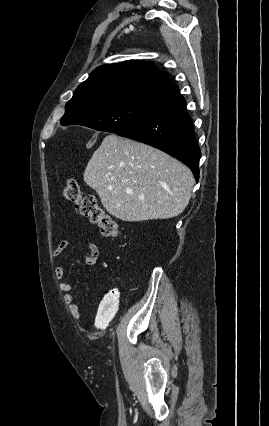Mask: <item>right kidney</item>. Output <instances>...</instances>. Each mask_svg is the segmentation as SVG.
<instances>
[{
  "label": "right kidney",
  "instance_id": "1",
  "mask_svg": "<svg viewBox=\"0 0 269 426\" xmlns=\"http://www.w3.org/2000/svg\"><path fill=\"white\" fill-rule=\"evenodd\" d=\"M118 293L119 288L117 286H112L110 288V293L103 298L95 319V326L97 328L105 329L113 319L119 305Z\"/></svg>",
  "mask_w": 269,
  "mask_h": 426
}]
</instances>
